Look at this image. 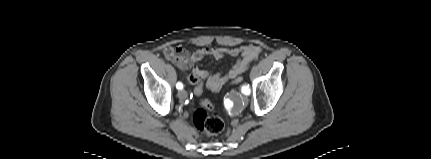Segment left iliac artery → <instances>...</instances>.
I'll list each match as a JSON object with an SVG mask.
<instances>
[{"label":"left iliac artery","instance_id":"1","mask_svg":"<svg viewBox=\"0 0 431 159\" xmlns=\"http://www.w3.org/2000/svg\"><path fill=\"white\" fill-rule=\"evenodd\" d=\"M242 93H244L245 95H249L250 94V89L248 86H243L242 87Z\"/></svg>","mask_w":431,"mask_h":159}]
</instances>
